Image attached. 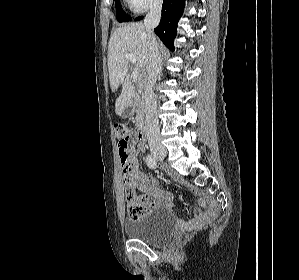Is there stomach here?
<instances>
[{
    "label": "stomach",
    "mask_w": 299,
    "mask_h": 280,
    "mask_svg": "<svg viewBox=\"0 0 299 280\" xmlns=\"http://www.w3.org/2000/svg\"><path fill=\"white\" fill-rule=\"evenodd\" d=\"M133 114V110L131 106L126 107V109L123 111V116L124 117H129Z\"/></svg>",
    "instance_id": "1"
}]
</instances>
